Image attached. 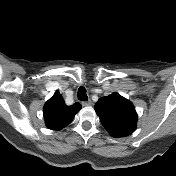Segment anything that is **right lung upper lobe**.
I'll use <instances>...</instances> for the list:
<instances>
[{
  "label": "right lung upper lobe",
  "instance_id": "right-lung-upper-lobe-1",
  "mask_svg": "<svg viewBox=\"0 0 176 176\" xmlns=\"http://www.w3.org/2000/svg\"><path fill=\"white\" fill-rule=\"evenodd\" d=\"M81 108L80 103L67 106L62 95L56 91L43 108L46 126L51 130H60L66 127Z\"/></svg>",
  "mask_w": 176,
  "mask_h": 176
}]
</instances>
